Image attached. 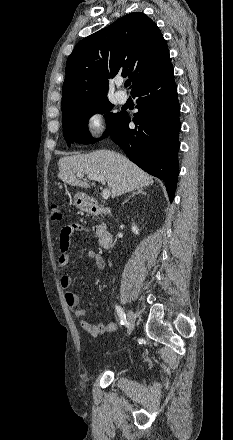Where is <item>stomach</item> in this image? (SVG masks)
Returning <instances> with one entry per match:
<instances>
[{
  "label": "stomach",
  "instance_id": "stomach-1",
  "mask_svg": "<svg viewBox=\"0 0 233 440\" xmlns=\"http://www.w3.org/2000/svg\"><path fill=\"white\" fill-rule=\"evenodd\" d=\"M74 205L76 208L83 210V211H89L92 206V200L89 196H87L84 193H77L74 196Z\"/></svg>",
  "mask_w": 233,
  "mask_h": 440
}]
</instances>
